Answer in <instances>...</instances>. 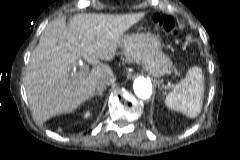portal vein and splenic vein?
Here are the masks:
<instances>
[{
  "mask_svg": "<svg viewBox=\"0 0 240 160\" xmlns=\"http://www.w3.org/2000/svg\"><path fill=\"white\" fill-rule=\"evenodd\" d=\"M91 62H92L93 64H95V63H97L98 61H97V60H91ZM74 71H75V70H74ZM87 72H88V67L85 66V65H83V66H82V69L78 72V75H79V76H83V75H85Z\"/></svg>",
  "mask_w": 240,
  "mask_h": 160,
  "instance_id": "obj_1",
  "label": "portal vein and splenic vein"
}]
</instances>
